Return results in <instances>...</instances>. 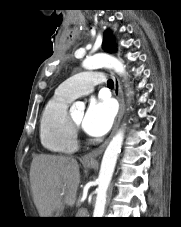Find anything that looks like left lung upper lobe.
<instances>
[{
  "label": "left lung upper lobe",
  "instance_id": "left-lung-upper-lobe-1",
  "mask_svg": "<svg viewBox=\"0 0 181 227\" xmlns=\"http://www.w3.org/2000/svg\"><path fill=\"white\" fill-rule=\"evenodd\" d=\"M102 47L105 51L110 52V53L116 51L114 38L109 31H106L104 33Z\"/></svg>",
  "mask_w": 181,
  "mask_h": 227
}]
</instances>
